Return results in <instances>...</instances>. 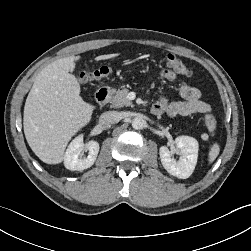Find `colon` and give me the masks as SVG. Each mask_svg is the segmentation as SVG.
<instances>
[{"instance_id": "colon-1", "label": "colon", "mask_w": 251, "mask_h": 251, "mask_svg": "<svg viewBox=\"0 0 251 251\" xmlns=\"http://www.w3.org/2000/svg\"><path fill=\"white\" fill-rule=\"evenodd\" d=\"M165 64L169 70H172L178 74H181L184 76H190L192 73L191 69L173 54H167L165 56ZM109 72L110 70L106 66H103L94 70H85L79 74V80L82 83L99 80L106 77L109 74ZM205 125L208 132L211 135H213L216 132L217 121L212 114H209L206 116Z\"/></svg>"}]
</instances>
